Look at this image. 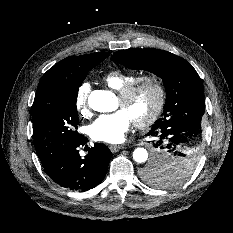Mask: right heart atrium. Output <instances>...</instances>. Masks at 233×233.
I'll list each match as a JSON object with an SVG mask.
<instances>
[{"label":"right heart atrium","instance_id":"right-heart-atrium-1","mask_svg":"<svg viewBox=\"0 0 233 233\" xmlns=\"http://www.w3.org/2000/svg\"><path fill=\"white\" fill-rule=\"evenodd\" d=\"M90 89L91 86L88 82H82L77 88L75 94V108L78 111V113L83 117L88 116L90 112L88 104Z\"/></svg>","mask_w":233,"mask_h":233}]
</instances>
